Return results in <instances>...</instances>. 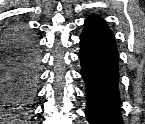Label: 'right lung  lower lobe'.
I'll list each match as a JSON object with an SVG mask.
<instances>
[{
	"label": "right lung lower lobe",
	"instance_id": "1",
	"mask_svg": "<svg viewBox=\"0 0 145 124\" xmlns=\"http://www.w3.org/2000/svg\"><path fill=\"white\" fill-rule=\"evenodd\" d=\"M38 66L34 35L11 33L0 51V108L5 117H22L32 107Z\"/></svg>",
	"mask_w": 145,
	"mask_h": 124
}]
</instances>
